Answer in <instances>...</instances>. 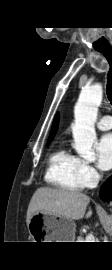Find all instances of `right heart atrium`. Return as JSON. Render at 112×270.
<instances>
[{
    "mask_svg": "<svg viewBox=\"0 0 112 270\" xmlns=\"http://www.w3.org/2000/svg\"><path fill=\"white\" fill-rule=\"evenodd\" d=\"M79 174L83 187L93 186L99 177L96 169L90 163L81 159L79 160Z\"/></svg>",
    "mask_w": 112,
    "mask_h": 270,
    "instance_id": "d8ad5b80",
    "label": "right heart atrium"
}]
</instances>
